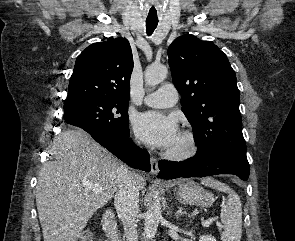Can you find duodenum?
Here are the masks:
<instances>
[{
	"label": "duodenum",
	"instance_id": "1",
	"mask_svg": "<svg viewBox=\"0 0 295 241\" xmlns=\"http://www.w3.org/2000/svg\"><path fill=\"white\" fill-rule=\"evenodd\" d=\"M103 229L110 241H122L118 226L112 210H107L103 215Z\"/></svg>",
	"mask_w": 295,
	"mask_h": 241
}]
</instances>
